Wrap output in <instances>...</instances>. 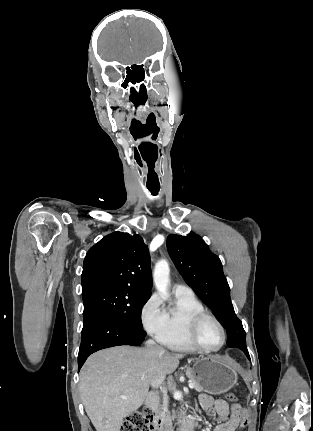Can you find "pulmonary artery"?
Masks as SVG:
<instances>
[{
	"label": "pulmonary artery",
	"instance_id": "1",
	"mask_svg": "<svg viewBox=\"0 0 313 431\" xmlns=\"http://www.w3.org/2000/svg\"><path fill=\"white\" fill-rule=\"evenodd\" d=\"M174 291L176 294H181V295L193 294V291L190 287L179 283L174 285Z\"/></svg>",
	"mask_w": 313,
	"mask_h": 431
}]
</instances>
